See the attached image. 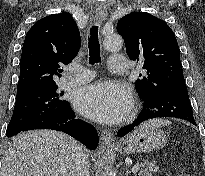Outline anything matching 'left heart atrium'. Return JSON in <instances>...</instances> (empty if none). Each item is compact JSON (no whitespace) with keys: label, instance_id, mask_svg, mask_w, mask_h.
Listing matches in <instances>:
<instances>
[{"label":"left heart atrium","instance_id":"obj_1","mask_svg":"<svg viewBox=\"0 0 205 176\" xmlns=\"http://www.w3.org/2000/svg\"><path fill=\"white\" fill-rule=\"evenodd\" d=\"M132 104L130 90L120 83L110 81L86 86L75 97V107L80 113L103 123L121 120Z\"/></svg>","mask_w":205,"mask_h":176}]
</instances>
